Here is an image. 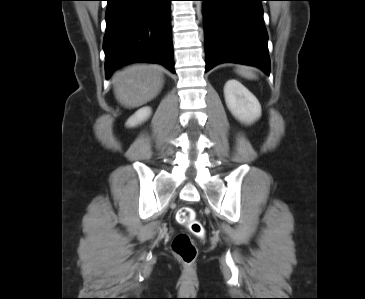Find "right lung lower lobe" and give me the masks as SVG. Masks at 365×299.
Masks as SVG:
<instances>
[{
  "instance_id": "98d812e1",
  "label": "right lung lower lobe",
  "mask_w": 365,
  "mask_h": 299,
  "mask_svg": "<svg viewBox=\"0 0 365 299\" xmlns=\"http://www.w3.org/2000/svg\"><path fill=\"white\" fill-rule=\"evenodd\" d=\"M103 41L108 79L118 68L149 62L174 70L171 0H107Z\"/></svg>"
}]
</instances>
